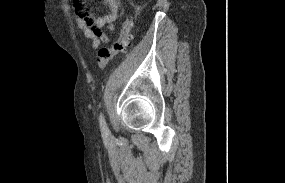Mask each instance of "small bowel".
Masks as SVG:
<instances>
[{
  "mask_svg": "<svg viewBox=\"0 0 285 183\" xmlns=\"http://www.w3.org/2000/svg\"><path fill=\"white\" fill-rule=\"evenodd\" d=\"M108 7V13L104 16H93L86 7L82 0H75L74 22L77 27L83 32L85 38L91 40L92 47L99 49L102 44L110 42L108 33L103 32L106 28L109 32L114 30V22L117 20L120 12L118 0H104Z\"/></svg>",
  "mask_w": 285,
  "mask_h": 183,
  "instance_id": "c3829d8e",
  "label": "small bowel"
}]
</instances>
